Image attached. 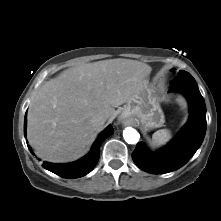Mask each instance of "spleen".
<instances>
[{
	"label": "spleen",
	"mask_w": 221,
	"mask_h": 221,
	"mask_svg": "<svg viewBox=\"0 0 221 221\" xmlns=\"http://www.w3.org/2000/svg\"><path fill=\"white\" fill-rule=\"evenodd\" d=\"M171 138V132L168 129H161L156 131L150 139V144L153 147H159L166 144Z\"/></svg>",
	"instance_id": "spleen-1"
}]
</instances>
